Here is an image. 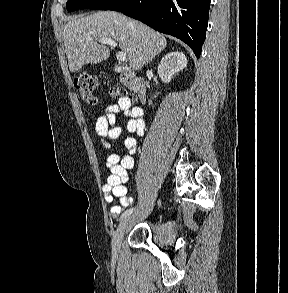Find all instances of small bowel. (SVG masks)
Listing matches in <instances>:
<instances>
[{"instance_id":"1","label":"small bowel","mask_w":288,"mask_h":293,"mask_svg":"<svg viewBox=\"0 0 288 293\" xmlns=\"http://www.w3.org/2000/svg\"><path fill=\"white\" fill-rule=\"evenodd\" d=\"M122 114L127 118L126 129L130 133H135L142 137L145 133V122L143 112L140 107H132L128 98H121L114 104L106 108L105 112L97 119L95 131L100 138L101 146L104 150L110 151L113 148V142L121 135V127L116 125V115ZM137 141L134 137H126L124 146L127 154L119 155L110 153L107 157V167L110 175L103 184L105 201L110 206L113 216L120 215L128 207L133 199L128 196L127 182L129 180V171L134 168V154ZM119 199V203L116 202Z\"/></svg>"}]
</instances>
